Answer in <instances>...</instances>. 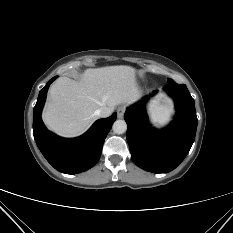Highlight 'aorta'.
<instances>
[{
	"label": "aorta",
	"mask_w": 233,
	"mask_h": 233,
	"mask_svg": "<svg viewBox=\"0 0 233 233\" xmlns=\"http://www.w3.org/2000/svg\"><path fill=\"white\" fill-rule=\"evenodd\" d=\"M114 133L123 134L127 130V124L124 120H116L112 127Z\"/></svg>",
	"instance_id": "762f6f07"
}]
</instances>
